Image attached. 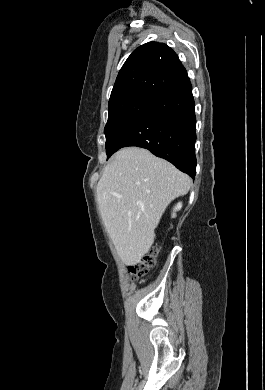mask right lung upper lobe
Masks as SVG:
<instances>
[{
	"label": "right lung upper lobe",
	"mask_w": 265,
	"mask_h": 390,
	"mask_svg": "<svg viewBox=\"0 0 265 390\" xmlns=\"http://www.w3.org/2000/svg\"><path fill=\"white\" fill-rule=\"evenodd\" d=\"M186 76V69L170 47L148 42L136 48L120 69L109 105L136 95L156 98Z\"/></svg>",
	"instance_id": "obj_1"
}]
</instances>
